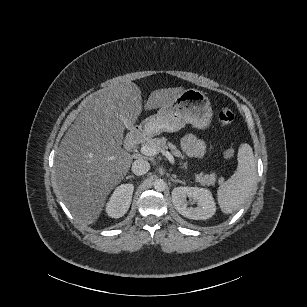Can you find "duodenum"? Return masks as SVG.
Returning <instances> with one entry per match:
<instances>
[{
    "mask_svg": "<svg viewBox=\"0 0 307 307\" xmlns=\"http://www.w3.org/2000/svg\"><path fill=\"white\" fill-rule=\"evenodd\" d=\"M147 138V133L142 129H135L131 131L125 141V147L127 150H132L137 144L142 143Z\"/></svg>",
    "mask_w": 307,
    "mask_h": 307,
    "instance_id": "duodenum-1",
    "label": "duodenum"
}]
</instances>
